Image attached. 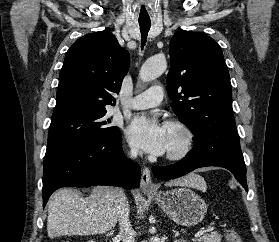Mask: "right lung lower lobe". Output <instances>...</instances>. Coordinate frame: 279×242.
Segmentation results:
<instances>
[{"label": "right lung lower lobe", "instance_id": "1", "mask_svg": "<svg viewBox=\"0 0 279 242\" xmlns=\"http://www.w3.org/2000/svg\"><path fill=\"white\" fill-rule=\"evenodd\" d=\"M139 184L140 167L126 162L121 134L101 142L76 144L45 155L43 207L61 187L112 185L131 189Z\"/></svg>", "mask_w": 279, "mask_h": 242}]
</instances>
